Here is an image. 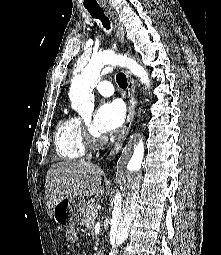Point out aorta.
<instances>
[{
  "instance_id": "obj_1",
  "label": "aorta",
  "mask_w": 221,
  "mask_h": 255,
  "mask_svg": "<svg viewBox=\"0 0 221 255\" xmlns=\"http://www.w3.org/2000/svg\"><path fill=\"white\" fill-rule=\"evenodd\" d=\"M121 63V57L113 52H104L92 56L81 70L80 74L72 79L69 98L72 108L82 117H90L94 110L93 89L100 80L101 71L106 66H115ZM141 81L148 83L145 73L139 71ZM144 157L143 143H139L134 152L125 150L119 159L116 173L115 207L112 216L111 241L122 244L129 234V229L135 218L136 205L139 197L141 181V165Z\"/></svg>"
}]
</instances>
